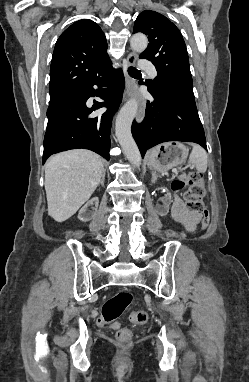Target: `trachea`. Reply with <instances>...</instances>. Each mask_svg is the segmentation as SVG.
I'll list each match as a JSON object with an SVG mask.
<instances>
[{"label":"trachea","mask_w":249,"mask_h":382,"mask_svg":"<svg viewBox=\"0 0 249 382\" xmlns=\"http://www.w3.org/2000/svg\"><path fill=\"white\" fill-rule=\"evenodd\" d=\"M128 73L131 75V76H134L136 74H141V71L137 70L136 68L134 67H129L128 68Z\"/></svg>","instance_id":"obj_1"}]
</instances>
